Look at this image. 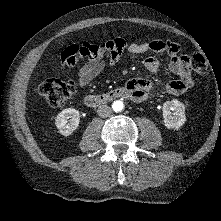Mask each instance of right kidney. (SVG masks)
Listing matches in <instances>:
<instances>
[{"label":"right kidney","mask_w":221,"mask_h":221,"mask_svg":"<svg viewBox=\"0 0 221 221\" xmlns=\"http://www.w3.org/2000/svg\"><path fill=\"white\" fill-rule=\"evenodd\" d=\"M79 122L80 113L73 108L61 111L55 119L56 127L59 132L65 136L72 134L78 128Z\"/></svg>","instance_id":"ca27d5eb"}]
</instances>
